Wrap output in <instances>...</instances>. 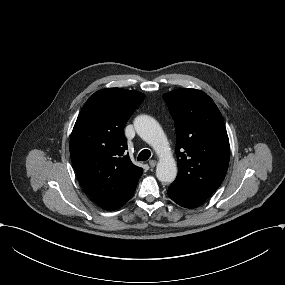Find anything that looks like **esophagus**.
Masks as SVG:
<instances>
[{"label": "esophagus", "instance_id": "esophagus-1", "mask_svg": "<svg viewBox=\"0 0 285 285\" xmlns=\"http://www.w3.org/2000/svg\"><path fill=\"white\" fill-rule=\"evenodd\" d=\"M149 166L151 168H154L156 165H157V161L154 160V159H151L149 162H148Z\"/></svg>", "mask_w": 285, "mask_h": 285}]
</instances>
